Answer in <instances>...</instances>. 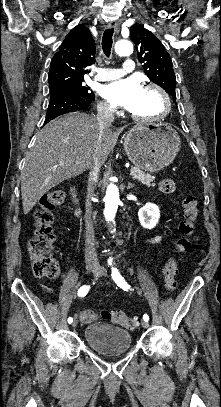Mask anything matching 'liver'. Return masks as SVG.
I'll return each instance as SVG.
<instances>
[{
    "instance_id": "liver-1",
    "label": "liver",
    "mask_w": 221,
    "mask_h": 407,
    "mask_svg": "<svg viewBox=\"0 0 221 407\" xmlns=\"http://www.w3.org/2000/svg\"><path fill=\"white\" fill-rule=\"evenodd\" d=\"M98 137L96 118L83 112L66 114L44 126L21 173L24 214L53 187L89 169L95 150L98 149L101 164L105 163L117 135L109 128L97 145Z\"/></svg>"
}]
</instances>
